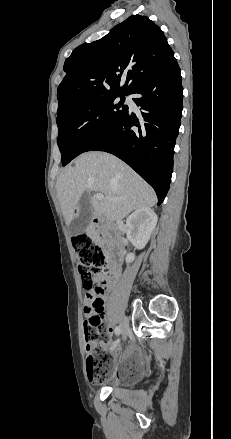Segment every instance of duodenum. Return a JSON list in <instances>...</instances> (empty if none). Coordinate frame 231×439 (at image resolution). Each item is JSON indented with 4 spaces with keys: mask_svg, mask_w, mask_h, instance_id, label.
I'll return each instance as SVG.
<instances>
[{
    "mask_svg": "<svg viewBox=\"0 0 231 439\" xmlns=\"http://www.w3.org/2000/svg\"><path fill=\"white\" fill-rule=\"evenodd\" d=\"M100 228H101V219H100V218H95V219H93L92 224H91V232H92L93 234H97V233H99ZM119 230H120V227H119V226H116V227L114 228V232H117V231H119ZM113 267H116L117 269L119 268V266H118L116 263H113L112 268H113Z\"/></svg>",
    "mask_w": 231,
    "mask_h": 439,
    "instance_id": "obj_1",
    "label": "duodenum"
}]
</instances>
